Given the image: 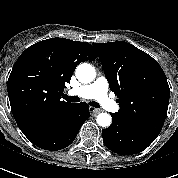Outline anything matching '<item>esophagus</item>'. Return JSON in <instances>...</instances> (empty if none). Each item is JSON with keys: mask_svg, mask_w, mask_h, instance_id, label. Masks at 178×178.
I'll use <instances>...</instances> for the list:
<instances>
[{"mask_svg": "<svg viewBox=\"0 0 178 178\" xmlns=\"http://www.w3.org/2000/svg\"><path fill=\"white\" fill-rule=\"evenodd\" d=\"M100 112H101L100 109H96V108L90 107V113H91V115L96 116Z\"/></svg>", "mask_w": 178, "mask_h": 178, "instance_id": "esophagus-1", "label": "esophagus"}]
</instances>
